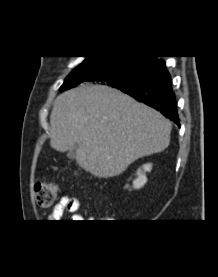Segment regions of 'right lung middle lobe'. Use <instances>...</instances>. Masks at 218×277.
Returning <instances> with one entry per match:
<instances>
[{
  "label": "right lung middle lobe",
  "mask_w": 218,
  "mask_h": 277,
  "mask_svg": "<svg viewBox=\"0 0 218 277\" xmlns=\"http://www.w3.org/2000/svg\"><path fill=\"white\" fill-rule=\"evenodd\" d=\"M155 61L153 56H86L66 77L60 91L80 84L83 76L88 73L99 75L102 82L112 87L121 86L135 80Z\"/></svg>",
  "instance_id": "dd1d6c3e"
}]
</instances>
